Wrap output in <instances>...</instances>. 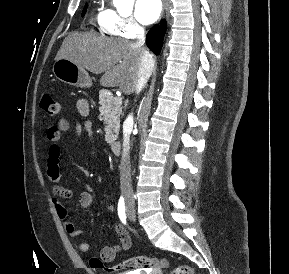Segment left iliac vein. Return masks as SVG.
<instances>
[{
    "label": "left iliac vein",
    "mask_w": 289,
    "mask_h": 274,
    "mask_svg": "<svg viewBox=\"0 0 289 274\" xmlns=\"http://www.w3.org/2000/svg\"><path fill=\"white\" fill-rule=\"evenodd\" d=\"M128 218H129L131 221H135V215H134V216H131V215L128 213Z\"/></svg>",
    "instance_id": "obj_1"
}]
</instances>
